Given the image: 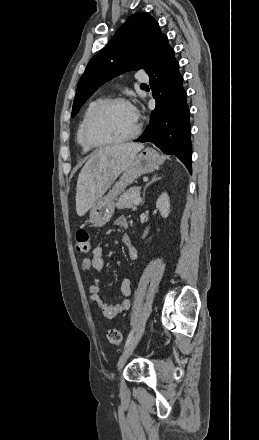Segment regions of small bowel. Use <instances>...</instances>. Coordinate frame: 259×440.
Wrapping results in <instances>:
<instances>
[{
  "instance_id": "1",
  "label": "small bowel",
  "mask_w": 259,
  "mask_h": 440,
  "mask_svg": "<svg viewBox=\"0 0 259 440\" xmlns=\"http://www.w3.org/2000/svg\"><path fill=\"white\" fill-rule=\"evenodd\" d=\"M115 224L118 227L125 228L127 227L128 223L124 216H120L116 219ZM122 242L126 248L128 258L132 261L136 260L138 257L137 249L133 246L127 235L122 237ZM104 266L105 262L103 258V249L100 246H97L93 249L90 258H84L81 261L82 273H89L91 271L101 272L103 271ZM132 288V279L130 277L124 278L121 283V292L125 298L120 303L108 304L99 296V279L93 278V282L89 287V298L97 304V307L100 309L105 318L113 319L129 309L130 300L128 299V296L131 295Z\"/></svg>"
}]
</instances>
